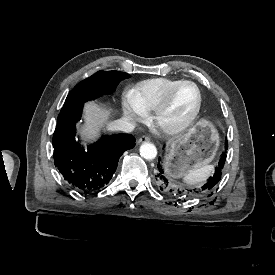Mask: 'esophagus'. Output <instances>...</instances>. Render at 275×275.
<instances>
[{
	"label": "esophagus",
	"instance_id": "esophagus-1",
	"mask_svg": "<svg viewBox=\"0 0 275 275\" xmlns=\"http://www.w3.org/2000/svg\"><path fill=\"white\" fill-rule=\"evenodd\" d=\"M150 141V138L147 136H142L141 138H139L138 143H143V142H148Z\"/></svg>",
	"mask_w": 275,
	"mask_h": 275
}]
</instances>
